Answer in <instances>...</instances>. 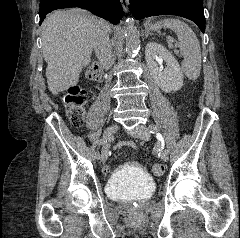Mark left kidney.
Returning a JSON list of instances; mask_svg holds the SVG:
<instances>
[{
  "mask_svg": "<svg viewBox=\"0 0 240 238\" xmlns=\"http://www.w3.org/2000/svg\"><path fill=\"white\" fill-rule=\"evenodd\" d=\"M145 59L149 71L162 91L171 93L183 86V73L175 57L162 45L149 42L145 48ZM166 62V67H158L157 62Z\"/></svg>",
  "mask_w": 240,
  "mask_h": 238,
  "instance_id": "left-kidney-1",
  "label": "left kidney"
}]
</instances>
